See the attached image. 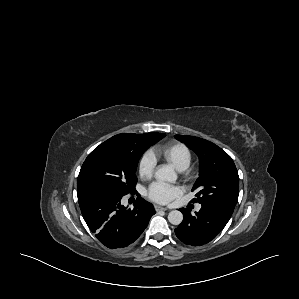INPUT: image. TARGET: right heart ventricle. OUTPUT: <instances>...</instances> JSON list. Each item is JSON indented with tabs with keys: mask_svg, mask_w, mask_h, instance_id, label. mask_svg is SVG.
Listing matches in <instances>:
<instances>
[{
	"mask_svg": "<svg viewBox=\"0 0 299 299\" xmlns=\"http://www.w3.org/2000/svg\"><path fill=\"white\" fill-rule=\"evenodd\" d=\"M158 153L174 168L180 171L187 169L192 161L190 149L180 142L165 144L159 148Z\"/></svg>",
	"mask_w": 299,
	"mask_h": 299,
	"instance_id": "e07e8e85",
	"label": "right heart ventricle"
}]
</instances>
